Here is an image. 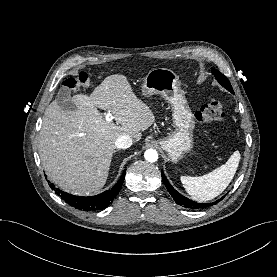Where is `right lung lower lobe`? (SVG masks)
<instances>
[{
    "instance_id": "right-lung-lower-lobe-1",
    "label": "right lung lower lobe",
    "mask_w": 277,
    "mask_h": 277,
    "mask_svg": "<svg viewBox=\"0 0 277 277\" xmlns=\"http://www.w3.org/2000/svg\"><path fill=\"white\" fill-rule=\"evenodd\" d=\"M125 173H126V170L123 171L121 178L113 188L97 196H89V197L74 196L61 190H55V193L58 196H60L66 203H68L69 205L77 209H80L83 211L101 210L106 208L108 205H110L113 199L119 193L124 181ZM50 187L52 189H55L52 184L50 185Z\"/></svg>"
}]
</instances>
